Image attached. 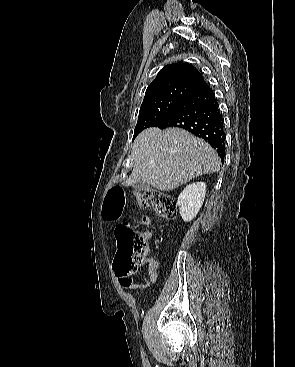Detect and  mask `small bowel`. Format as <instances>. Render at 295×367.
Here are the masks:
<instances>
[{
  "instance_id": "1",
  "label": "small bowel",
  "mask_w": 295,
  "mask_h": 367,
  "mask_svg": "<svg viewBox=\"0 0 295 367\" xmlns=\"http://www.w3.org/2000/svg\"><path fill=\"white\" fill-rule=\"evenodd\" d=\"M148 267H149L150 278L153 282H155L157 280L156 270L158 267V263L156 262L155 259L151 258L148 262ZM116 276L118 279V283L122 288L145 286L148 284L147 280L135 281L130 276H122L118 274H116Z\"/></svg>"
}]
</instances>
